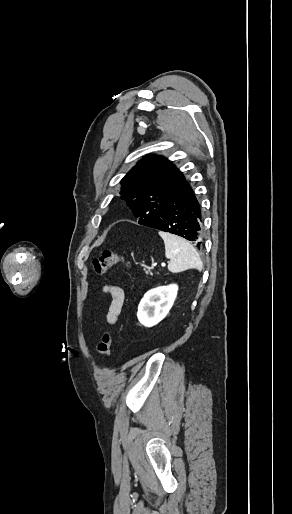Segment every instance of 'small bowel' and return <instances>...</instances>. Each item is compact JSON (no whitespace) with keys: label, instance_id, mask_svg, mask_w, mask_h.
Here are the masks:
<instances>
[{"label":"small bowel","instance_id":"1","mask_svg":"<svg viewBox=\"0 0 292 514\" xmlns=\"http://www.w3.org/2000/svg\"><path fill=\"white\" fill-rule=\"evenodd\" d=\"M103 292L110 295V303L106 313V321L109 325L117 323L125 301L124 290L115 285H105Z\"/></svg>","mask_w":292,"mask_h":514}]
</instances>
